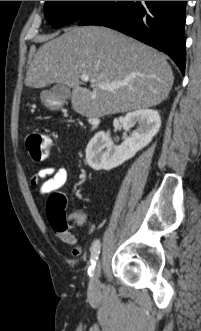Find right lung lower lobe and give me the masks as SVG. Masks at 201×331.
<instances>
[{
  "label": "right lung lower lobe",
  "mask_w": 201,
  "mask_h": 331,
  "mask_svg": "<svg viewBox=\"0 0 201 331\" xmlns=\"http://www.w3.org/2000/svg\"><path fill=\"white\" fill-rule=\"evenodd\" d=\"M187 1H104L78 25L106 26L167 53L185 71L184 39Z\"/></svg>",
  "instance_id": "1"
}]
</instances>
